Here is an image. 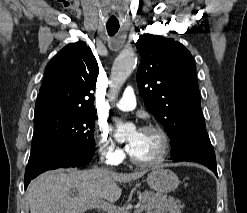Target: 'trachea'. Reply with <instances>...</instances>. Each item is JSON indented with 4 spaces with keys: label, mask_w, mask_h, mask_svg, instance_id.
<instances>
[{
    "label": "trachea",
    "mask_w": 247,
    "mask_h": 213,
    "mask_svg": "<svg viewBox=\"0 0 247 213\" xmlns=\"http://www.w3.org/2000/svg\"><path fill=\"white\" fill-rule=\"evenodd\" d=\"M107 31L110 36H113L117 33L119 29V24H107Z\"/></svg>",
    "instance_id": "3493384b"
}]
</instances>
